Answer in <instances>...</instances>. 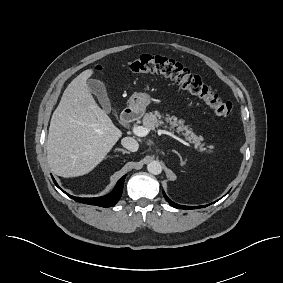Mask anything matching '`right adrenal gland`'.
I'll return each mask as SVG.
<instances>
[{
	"mask_svg": "<svg viewBox=\"0 0 283 283\" xmlns=\"http://www.w3.org/2000/svg\"><path fill=\"white\" fill-rule=\"evenodd\" d=\"M116 151H120V152H122L123 154H130L129 151H126V150L121 149V148H117Z\"/></svg>",
	"mask_w": 283,
	"mask_h": 283,
	"instance_id": "obj_1",
	"label": "right adrenal gland"
}]
</instances>
